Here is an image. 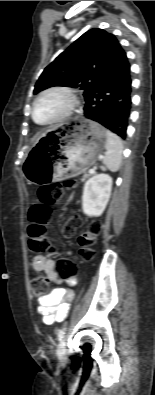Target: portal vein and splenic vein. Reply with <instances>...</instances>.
Here are the masks:
<instances>
[{"label": "portal vein and splenic vein", "instance_id": "1", "mask_svg": "<svg viewBox=\"0 0 155 395\" xmlns=\"http://www.w3.org/2000/svg\"><path fill=\"white\" fill-rule=\"evenodd\" d=\"M89 173H90V174L95 173V169H94V168H93V169H90V170H89Z\"/></svg>", "mask_w": 155, "mask_h": 395}]
</instances>
